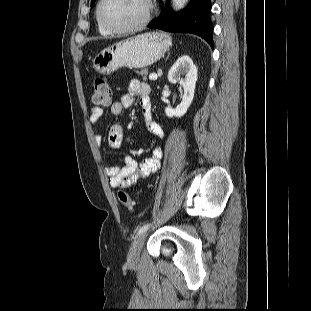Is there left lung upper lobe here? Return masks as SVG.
Instances as JSON below:
<instances>
[{
	"mask_svg": "<svg viewBox=\"0 0 311 311\" xmlns=\"http://www.w3.org/2000/svg\"><path fill=\"white\" fill-rule=\"evenodd\" d=\"M95 1H96V0H91V6L94 4Z\"/></svg>",
	"mask_w": 311,
	"mask_h": 311,
	"instance_id": "obj_1",
	"label": "left lung upper lobe"
}]
</instances>
